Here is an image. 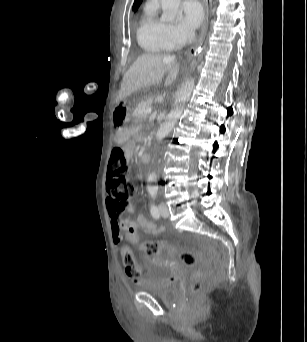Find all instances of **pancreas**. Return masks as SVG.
Masks as SVG:
<instances>
[{
	"instance_id": "1",
	"label": "pancreas",
	"mask_w": 307,
	"mask_h": 342,
	"mask_svg": "<svg viewBox=\"0 0 307 342\" xmlns=\"http://www.w3.org/2000/svg\"><path fill=\"white\" fill-rule=\"evenodd\" d=\"M154 102L153 98H147V100H141L139 102L138 106L135 108V118L136 119H144L145 113L142 112L143 110H147V108H152Z\"/></svg>"
}]
</instances>
